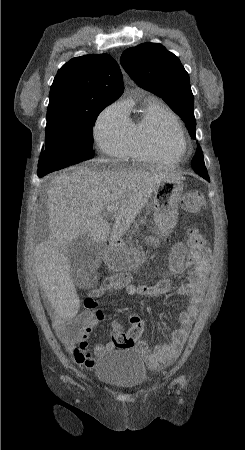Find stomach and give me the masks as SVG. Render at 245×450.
<instances>
[{
  "mask_svg": "<svg viewBox=\"0 0 245 450\" xmlns=\"http://www.w3.org/2000/svg\"><path fill=\"white\" fill-rule=\"evenodd\" d=\"M184 184L181 179H165L158 183L153 195L154 224L160 236L168 235L178 218V206ZM107 265L116 271H132L146 261V254L124 242L113 243L104 254Z\"/></svg>",
  "mask_w": 245,
  "mask_h": 450,
  "instance_id": "1",
  "label": "stomach"
}]
</instances>
